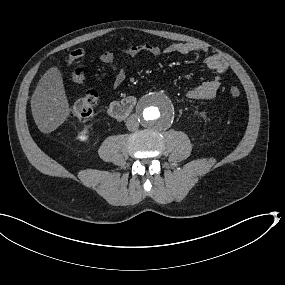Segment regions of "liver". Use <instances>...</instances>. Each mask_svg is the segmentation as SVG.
I'll return each mask as SVG.
<instances>
[{
	"instance_id": "liver-1",
	"label": "liver",
	"mask_w": 285,
	"mask_h": 285,
	"mask_svg": "<svg viewBox=\"0 0 285 285\" xmlns=\"http://www.w3.org/2000/svg\"><path fill=\"white\" fill-rule=\"evenodd\" d=\"M30 106L34 122L43 134L55 131L67 120L70 105L58 66H51L42 75L31 96Z\"/></svg>"
}]
</instances>
